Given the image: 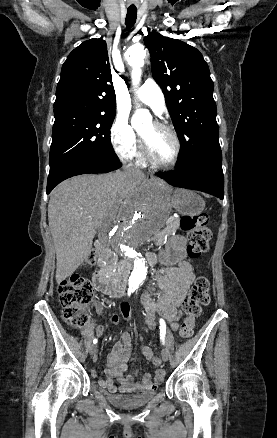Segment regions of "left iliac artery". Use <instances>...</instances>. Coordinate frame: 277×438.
I'll list each match as a JSON object with an SVG mask.
<instances>
[{
  "label": "left iliac artery",
  "mask_w": 277,
  "mask_h": 438,
  "mask_svg": "<svg viewBox=\"0 0 277 438\" xmlns=\"http://www.w3.org/2000/svg\"><path fill=\"white\" fill-rule=\"evenodd\" d=\"M165 334H166V324L163 319H160V338L163 344L165 342Z\"/></svg>",
  "instance_id": "44dca946"
}]
</instances>
